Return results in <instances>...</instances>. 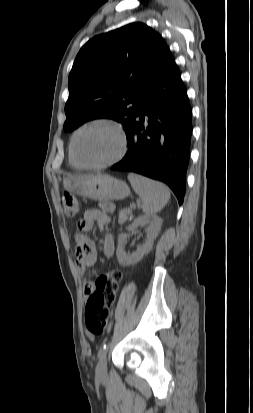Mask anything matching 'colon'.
<instances>
[{"instance_id":"obj_1","label":"colon","mask_w":253,"mask_h":413,"mask_svg":"<svg viewBox=\"0 0 253 413\" xmlns=\"http://www.w3.org/2000/svg\"><path fill=\"white\" fill-rule=\"evenodd\" d=\"M62 204L65 214L70 218L80 211L78 199L68 192L63 193ZM122 277L119 269H112L97 279L85 310L86 327L90 335H100L106 330Z\"/></svg>"}]
</instances>
